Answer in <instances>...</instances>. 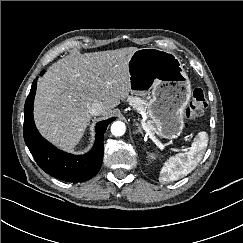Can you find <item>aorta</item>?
Masks as SVG:
<instances>
[{
  "label": "aorta",
  "mask_w": 243,
  "mask_h": 243,
  "mask_svg": "<svg viewBox=\"0 0 243 243\" xmlns=\"http://www.w3.org/2000/svg\"><path fill=\"white\" fill-rule=\"evenodd\" d=\"M126 130V126L123 122L121 121H116L111 125V133L114 136H122L124 135Z\"/></svg>",
  "instance_id": "1"
}]
</instances>
